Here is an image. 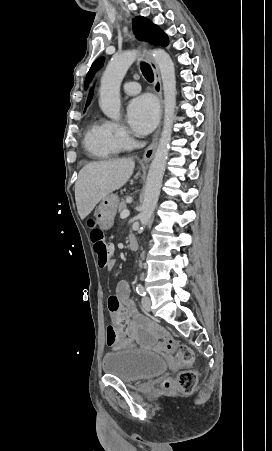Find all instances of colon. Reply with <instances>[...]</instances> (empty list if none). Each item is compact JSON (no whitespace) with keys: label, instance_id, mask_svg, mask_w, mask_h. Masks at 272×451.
I'll list each match as a JSON object with an SVG mask.
<instances>
[{"label":"colon","instance_id":"obj_1","mask_svg":"<svg viewBox=\"0 0 272 451\" xmlns=\"http://www.w3.org/2000/svg\"><path fill=\"white\" fill-rule=\"evenodd\" d=\"M91 223L92 222L90 221V224ZM90 237L96 251L98 266H106L109 263L112 253L111 242L105 241L103 233L99 229L92 230ZM119 321H121V319ZM106 331V347L122 348L123 340L117 338V327L115 325L107 326ZM164 347L166 351H170L172 354H174L173 364L176 367H179L180 365H192L193 359L195 357V352L194 350L184 348V344L182 342H166ZM196 381V372L186 369L178 373L174 383L175 386L180 388L183 392L191 393L195 389ZM165 385L169 386V383L166 382Z\"/></svg>","mask_w":272,"mask_h":451}]
</instances>
